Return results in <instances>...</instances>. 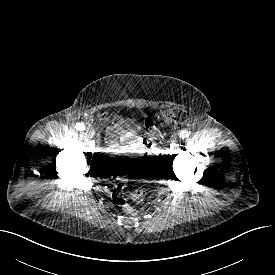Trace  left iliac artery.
Listing matches in <instances>:
<instances>
[{
    "mask_svg": "<svg viewBox=\"0 0 275 275\" xmlns=\"http://www.w3.org/2000/svg\"><path fill=\"white\" fill-rule=\"evenodd\" d=\"M179 135L181 138H187L190 135V132L187 130H182Z\"/></svg>",
    "mask_w": 275,
    "mask_h": 275,
    "instance_id": "obj_1",
    "label": "left iliac artery"
}]
</instances>
